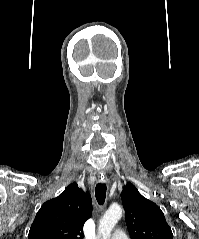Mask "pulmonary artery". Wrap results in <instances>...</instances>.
Listing matches in <instances>:
<instances>
[{"label":"pulmonary artery","instance_id":"pulmonary-artery-1","mask_svg":"<svg viewBox=\"0 0 199 239\" xmlns=\"http://www.w3.org/2000/svg\"><path fill=\"white\" fill-rule=\"evenodd\" d=\"M111 239H128V236L122 230H117L113 233Z\"/></svg>","mask_w":199,"mask_h":239}]
</instances>
